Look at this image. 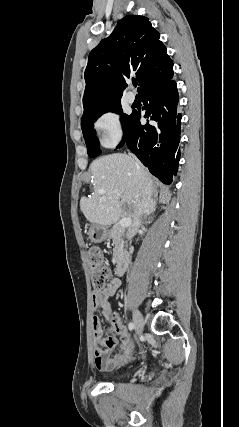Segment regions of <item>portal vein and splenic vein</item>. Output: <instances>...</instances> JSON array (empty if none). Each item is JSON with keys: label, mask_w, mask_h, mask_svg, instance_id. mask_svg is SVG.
I'll return each instance as SVG.
<instances>
[{"label": "portal vein and splenic vein", "mask_w": 239, "mask_h": 427, "mask_svg": "<svg viewBox=\"0 0 239 427\" xmlns=\"http://www.w3.org/2000/svg\"><path fill=\"white\" fill-rule=\"evenodd\" d=\"M131 222H132L131 218L124 217L119 221V225L121 227H128L131 225Z\"/></svg>", "instance_id": "portal-vein-and-splenic-vein-1"}]
</instances>
